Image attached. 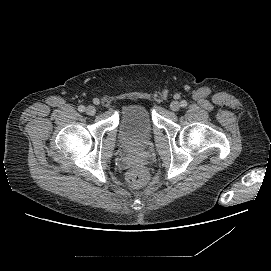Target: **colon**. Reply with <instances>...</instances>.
Masks as SVG:
<instances>
[{"label": "colon", "mask_w": 271, "mask_h": 271, "mask_svg": "<svg viewBox=\"0 0 271 271\" xmlns=\"http://www.w3.org/2000/svg\"><path fill=\"white\" fill-rule=\"evenodd\" d=\"M127 181L135 187H142L148 181V175L142 167H134L127 174Z\"/></svg>", "instance_id": "colon-1"}]
</instances>
